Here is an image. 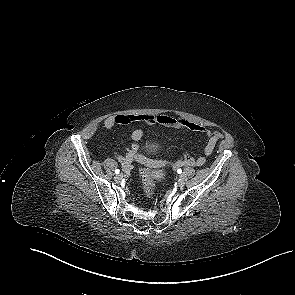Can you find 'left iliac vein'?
Segmentation results:
<instances>
[{"instance_id":"left-iliac-vein-1","label":"left iliac vein","mask_w":295,"mask_h":295,"mask_svg":"<svg viewBox=\"0 0 295 295\" xmlns=\"http://www.w3.org/2000/svg\"><path fill=\"white\" fill-rule=\"evenodd\" d=\"M177 184L179 187H183L185 185V180L183 178H179Z\"/></svg>"}]
</instances>
